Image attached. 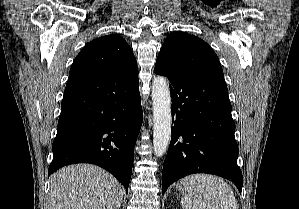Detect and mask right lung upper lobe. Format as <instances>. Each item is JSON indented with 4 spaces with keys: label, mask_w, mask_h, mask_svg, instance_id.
<instances>
[{
    "label": "right lung upper lobe",
    "mask_w": 299,
    "mask_h": 209,
    "mask_svg": "<svg viewBox=\"0 0 299 209\" xmlns=\"http://www.w3.org/2000/svg\"><path fill=\"white\" fill-rule=\"evenodd\" d=\"M117 74L127 81L138 78L132 50L119 35H106L89 42L76 56L69 79Z\"/></svg>",
    "instance_id": "right-lung-upper-lobe-1"
}]
</instances>
